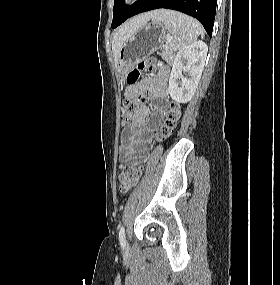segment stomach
<instances>
[{"label":"stomach","mask_w":280,"mask_h":285,"mask_svg":"<svg viewBox=\"0 0 280 285\" xmlns=\"http://www.w3.org/2000/svg\"><path fill=\"white\" fill-rule=\"evenodd\" d=\"M166 36V28L161 21L152 20L142 25L122 44L118 56L119 74L124 77L136 63L159 49Z\"/></svg>","instance_id":"1"}]
</instances>
